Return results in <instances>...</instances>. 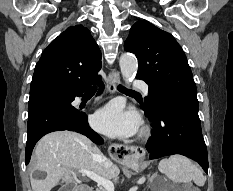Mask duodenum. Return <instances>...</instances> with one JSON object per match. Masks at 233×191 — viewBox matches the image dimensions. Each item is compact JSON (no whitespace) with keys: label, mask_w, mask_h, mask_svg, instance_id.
<instances>
[{"label":"duodenum","mask_w":233,"mask_h":191,"mask_svg":"<svg viewBox=\"0 0 233 191\" xmlns=\"http://www.w3.org/2000/svg\"><path fill=\"white\" fill-rule=\"evenodd\" d=\"M77 191H89V189L81 186V187H78Z\"/></svg>","instance_id":"obj_1"}]
</instances>
